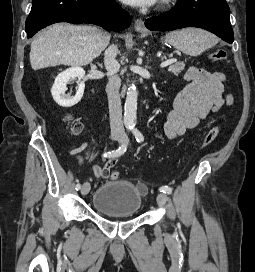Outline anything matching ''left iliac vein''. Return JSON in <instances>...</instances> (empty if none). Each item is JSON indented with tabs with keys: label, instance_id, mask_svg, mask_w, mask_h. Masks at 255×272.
I'll use <instances>...</instances> for the list:
<instances>
[{
	"label": "left iliac vein",
	"instance_id": "obj_1",
	"mask_svg": "<svg viewBox=\"0 0 255 272\" xmlns=\"http://www.w3.org/2000/svg\"><path fill=\"white\" fill-rule=\"evenodd\" d=\"M122 141H127L126 139H122ZM167 195L165 193H159L157 196V203L159 207L163 208L167 202Z\"/></svg>",
	"mask_w": 255,
	"mask_h": 272
}]
</instances>
